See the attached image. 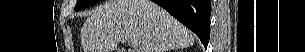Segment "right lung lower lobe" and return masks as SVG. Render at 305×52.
<instances>
[{
	"label": "right lung lower lobe",
	"mask_w": 305,
	"mask_h": 52,
	"mask_svg": "<svg viewBox=\"0 0 305 52\" xmlns=\"http://www.w3.org/2000/svg\"><path fill=\"white\" fill-rule=\"evenodd\" d=\"M192 30L206 48L210 38L211 0H152Z\"/></svg>",
	"instance_id": "right-lung-lower-lobe-1"
}]
</instances>
